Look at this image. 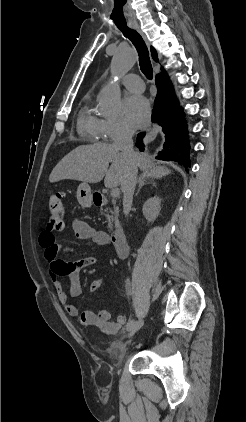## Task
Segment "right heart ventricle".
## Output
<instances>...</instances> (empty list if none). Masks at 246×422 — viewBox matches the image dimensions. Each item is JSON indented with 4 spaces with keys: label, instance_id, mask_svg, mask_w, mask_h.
Wrapping results in <instances>:
<instances>
[{
    "label": "right heart ventricle",
    "instance_id": "obj_1",
    "mask_svg": "<svg viewBox=\"0 0 246 422\" xmlns=\"http://www.w3.org/2000/svg\"><path fill=\"white\" fill-rule=\"evenodd\" d=\"M102 120L93 110L90 98H86L83 107L80 110L77 129L78 132L90 138L98 140L101 137Z\"/></svg>",
    "mask_w": 246,
    "mask_h": 422
}]
</instances>
